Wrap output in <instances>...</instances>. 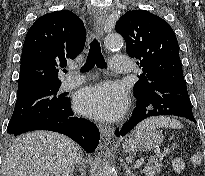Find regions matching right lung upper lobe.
<instances>
[{
    "instance_id": "right-lung-upper-lobe-1",
    "label": "right lung upper lobe",
    "mask_w": 205,
    "mask_h": 176,
    "mask_svg": "<svg viewBox=\"0 0 205 176\" xmlns=\"http://www.w3.org/2000/svg\"><path fill=\"white\" fill-rule=\"evenodd\" d=\"M85 37L83 22L71 11H55L37 19L23 44L17 96L60 85V68L81 52Z\"/></svg>"
}]
</instances>
